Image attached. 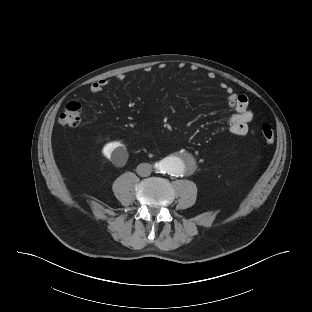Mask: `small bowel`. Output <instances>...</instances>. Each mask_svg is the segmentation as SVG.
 Listing matches in <instances>:
<instances>
[{
	"label": "small bowel",
	"instance_id": "1",
	"mask_svg": "<svg viewBox=\"0 0 312 312\" xmlns=\"http://www.w3.org/2000/svg\"><path fill=\"white\" fill-rule=\"evenodd\" d=\"M117 80H123L124 75L120 74ZM208 78H214L213 73L208 74ZM110 82L109 78H103L94 82L90 86V92L93 95L99 94ZM221 90L227 96L228 106L235 110V113L229 119V131L235 136H244L248 133V125L252 121L254 114L249 109V100L247 96L236 94L226 83L220 84Z\"/></svg>",
	"mask_w": 312,
	"mask_h": 312
}]
</instances>
